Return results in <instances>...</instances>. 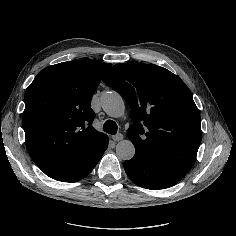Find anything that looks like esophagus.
<instances>
[{"label":"esophagus","mask_w":236,"mask_h":236,"mask_svg":"<svg viewBox=\"0 0 236 236\" xmlns=\"http://www.w3.org/2000/svg\"><path fill=\"white\" fill-rule=\"evenodd\" d=\"M123 139V135L122 134H116L113 136V140L114 141H120Z\"/></svg>","instance_id":"esophagus-1"}]
</instances>
